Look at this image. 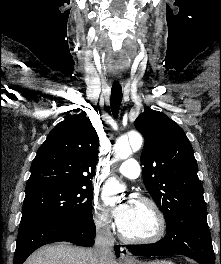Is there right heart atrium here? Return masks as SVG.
Listing matches in <instances>:
<instances>
[{"mask_svg":"<svg viewBox=\"0 0 221 264\" xmlns=\"http://www.w3.org/2000/svg\"><path fill=\"white\" fill-rule=\"evenodd\" d=\"M92 215L94 225L98 230L103 232H109L111 230L112 223L107 210L95 200L92 203Z\"/></svg>","mask_w":221,"mask_h":264,"instance_id":"d8ad5b80","label":"right heart atrium"}]
</instances>
